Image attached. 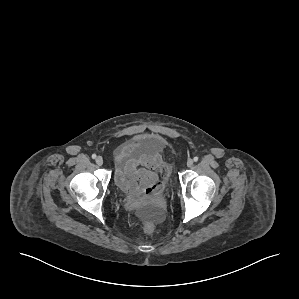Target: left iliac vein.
<instances>
[{
  "label": "left iliac vein",
  "mask_w": 299,
  "mask_h": 299,
  "mask_svg": "<svg viewBox=\"0 0 299 299\" xmlns=\"http://www.w3.org/2000/svg\"><path fill=\"white\" fill-rule=\"evenodd\" d=\"M193 165V160L192 159H188L187 160V166L191 167Z\"/></svg>",
  "instance_id": "left-iliac-vein-1"
}]
</instances>
